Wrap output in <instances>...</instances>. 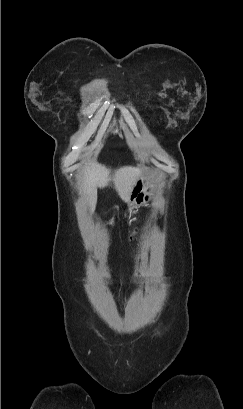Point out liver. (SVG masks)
Listing matches in <instances>:
<instances>
[{"label": "liver", "mask_w": 243, "mask_h": 409, "mask_svg": "<svg viewBox=\"0 0 243 409\" xmlns=\"http://www.w3.org/2000/svg\"><path fill=\"white\" fill-rule=\"evenodd\" d=\"M141 173V169L125 166L114 171L104 165L88 161L82 168L80 183L82 191L87 195L91 212L95 210L97 203V187L104 188L113 182L120 198L127 202L131 189Z\"/></svg>", "instance_id": "6515ba94"}]
</instances>
